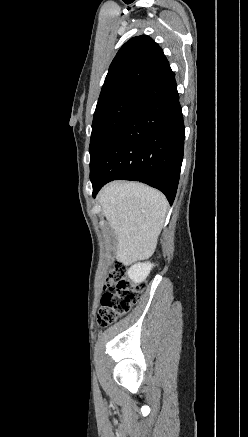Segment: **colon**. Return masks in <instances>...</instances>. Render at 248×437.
Instances as JSON below:
<instances>
[{"label": "colon", "mask_w": 248, "mask_h": 437, "mask_svg": "<svg viewBox=\"0 0 248 437\" xmlns=\"http://www.w3.org/2000/svg\"><path fill=\"white\" fill-rule=\"evenodd\" d=\"M127 271V264L118 263L106 278L97 316L98 325L101 327H107L126 315L141 297L144 286L132 283Z\"/></svg>", "instance_id": "1"}]
</instances>
